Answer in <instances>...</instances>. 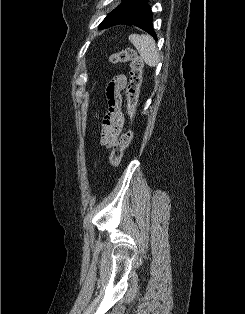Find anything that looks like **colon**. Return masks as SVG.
Masks as SVG:
<instances>
[{
    "instance_id": "colon-1",
    "label": "colon",
    "mask_w": 245,
    "mask_h": 314,
    "mask_svg": "<svg viewBox=\"0 0 245 314\" xmlns=\"http://www.w3.org/2000/svg\"><path fill=\"white\" fill-rule=\"evenodd\" d=\"M108 61L112 64L125 63L130 64V77L129 84L127 88V104H128V114L133 119L135 117L139 92L142 82V69L143 61L139 57L138 53L133 48H125L121 51L113 53L110 55ZM134 137V132L132 129L127 130L121 135L118 141L113 146L109 161L113 167H118L121 163V159L124 151L131 144Z\"/></svg>"
}]
</instances>
